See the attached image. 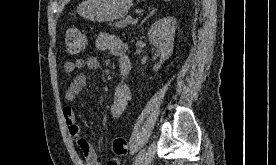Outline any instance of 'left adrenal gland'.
<instances>
[{
	"label": "left adrenal gland",
	"instance_id": "left-adrenal-gland-1",
	"mask_svg": "<svg viewBox=\"0 0 276 165\" xmlns=\"http://www.w3.org/2000/svg\"><path fill=\"white\" fill-rule=\"evenodd\" d=\"M155 11H156V9H152V11L150 12V15H149V16L153 15ZM149 16H148V17H149Z\"/></svg>",
	"mask_w": 276,
	"mask_h": 165
}]
</instances>
